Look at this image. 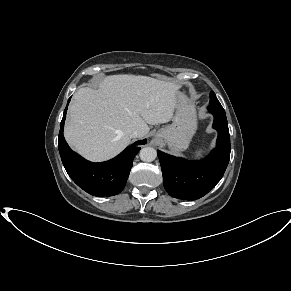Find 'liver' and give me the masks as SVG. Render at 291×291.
<instances>
[{
	"label": "liver",
	"mask_w": 291,
	"mask_h": 291,
	"mask_svg": "<svg viewBox=\"0 0 291 291\" xmlns=\"http://www.w3.org/2000/svg\"><path fill=\"white\" fill-rule=\"evenodd\" d=\"M179 88L172 82L135 75L107 76L98 90L80 88L69 108L65 139L88 160L110 159L130 143L133 130L145 136L148 124L173 118Z\"/></svg>",
	"instance_id": "liver-1"
}]
</instances>
